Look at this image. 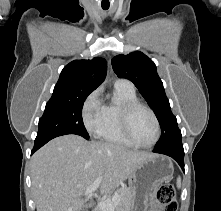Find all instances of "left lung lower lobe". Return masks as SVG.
Segmentation results:
<instances>
[{
    "label": "left lung lower lobe",
    "instance_id": "obj_1",
    "mask_svg": "<svg viewBox=\"0 0 221 211\" xmlns=\"http://www.w3.org/2000/svg\"><path fill=\"white\" fill-rule=\"evenodd\" d=\"M153 152L172 157L184 171V149L182 143L158 149L154 148Z\"/></svg>",
    "mask_w": 221,
    "mask_h": 211
}]
</instances>
